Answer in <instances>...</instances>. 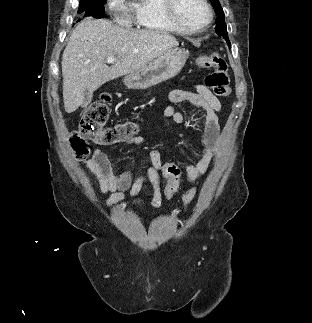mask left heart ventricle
<instances>
[{
    "mask_svg": "<svg viewBox=\"0 0 312 323\" xmlns=\"http://www.w3.org/2000/svg\"><path fill=\"white\" fill-rule=\"evenodd\" d=\"M176 5L174 12L178 18H186L187 22H194L195 18H207L209 7H203L201 0H173Z\"/></svg>",
    "mask_w": 312,
    "mask_h": 323,
    "instance_id": "obj_1",
    "label": "left heart ventricle"
}]
</instances>
